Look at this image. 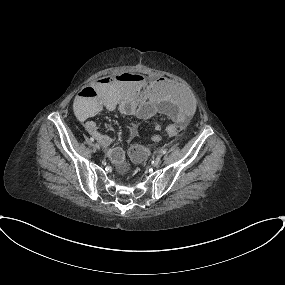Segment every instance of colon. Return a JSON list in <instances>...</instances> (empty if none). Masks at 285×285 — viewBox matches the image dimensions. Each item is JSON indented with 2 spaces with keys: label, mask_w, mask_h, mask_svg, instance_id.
<instances>
[{
  "label": "colon",
  "mask_w": 285,
  "mask_h": 285,
  "mask_svg": "<svg viewBox=\"0 0 285 285\" xmlns=\"http://www.w3.org/2000/svg\"><path fill=\"white\" fill-rule=\"evenodd\" d=\"M123 78L125 79H135L136 77L135 76H132L130 74H125L123 75ZM86 95H91V97H87L88 99H93L95 100L97 97L95 94L91 93V94H86ZM167 130L171 131V132H176L179 130V127L175 124H170L168 125L167 127ZM153 141L154 142H159L161 140V137L157 134H154L153 137H152ZM147 149L141 145H138V144H135L131 147L130 149V157L131 159H133L134 161H143L146 156H147Z\"/></svg>",
  "instance_id": "obj_1"
}]
</instances>
